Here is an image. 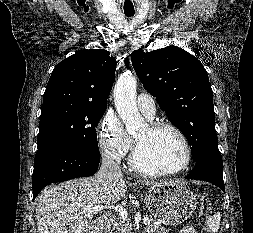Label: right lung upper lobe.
I'll list each match as a JSON object with an SVG mask.
<instances>
[{
	"label": "right lung upper lobe",
	"mask_w": 253,
	"mask_h": 233,
	"mask_svg": "<svg viewBox=\"0 0 253 233\" xmlns=\"http://www.w3.org/2000/svg\"><path fill=\"white\" fill-rule=\"evenodd\" d=\"M116 60L104 49L82 50L54 68L44 93L49 102L107 105L116 69Z\"/></svg>",
	"instance_id": "right-lung-upper-lobe-1"
}]
</instances>
